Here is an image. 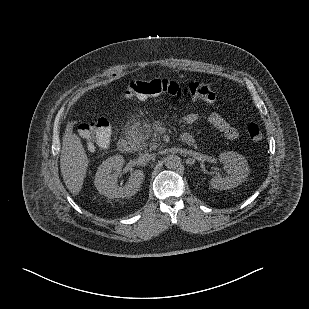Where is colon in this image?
<instances>
[{"label": "colon", "mask_w": 309, "mask_h": 309, "mask_svg": "<svg viewBox=\"0 0 309 309\" xmlns=\"http://www.w3.org/2000/svg\"><path fill=\"white\" fill-rule=\"evenodd\" d=\"M124 93L139 100L169 94L178 98H189L193 101H202L209 104L213 103L216 98L214 90L208 84L192 82L182 86L166 79L131 81L126 84ZM247 133L254 142H261L263 139L262 132L256 123L248 125ZM79 134L87 143L89 150L94 149L95 144L105 146L111 139V123L105 116L98 117L81 127Z\"/></svg>", "instance_id": "colon-1"}]
</instances>
